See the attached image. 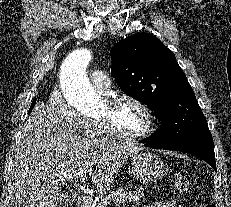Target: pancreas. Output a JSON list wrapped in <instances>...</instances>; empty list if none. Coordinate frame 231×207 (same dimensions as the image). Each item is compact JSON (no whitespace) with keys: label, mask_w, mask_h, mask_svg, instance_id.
Instances as JSON below:
<instances>
[{"label":"pancreas","mask_w":231,"mask_h":207,"mask_svg":"<svg viewBox=\"0 0 231 207\" xmlns=\"http://www.w3.org/2000/svg\"><path fill=\"white\" fill-rule=\"evenodd\" d=\"M144 198V189L128 190L118 188L106 196L98 197L92 202V207H109L111 205L125 204L126 202H137Z\"/></svg>","instance_id":"cf45deb5"}]
</instances>
